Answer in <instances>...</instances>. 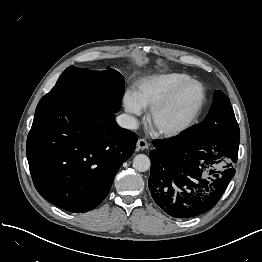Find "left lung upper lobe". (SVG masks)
<instances>
[{
	"label": "left lung upper lobe",
	"mask_w": 262,
	"mask_h": 262,
	"mask_svg": "<svg viewBox=\"0 0 262 262\" xmlns=\"http://www.w3.org/2000/svg\"><path fill=\"white\" fill-rule=\"evenodd\" d=\"M223 132L239 133V126L229 98L223 92L216 90L212 106L204 121L188 128L181 135L208 138Z\"/></svg>",
	"instance_id": "obj_1"
}]
</instances>
